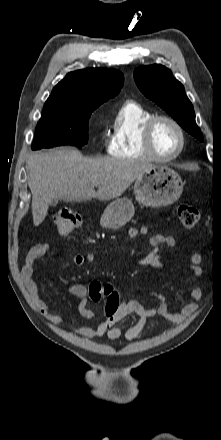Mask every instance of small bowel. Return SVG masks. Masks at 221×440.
I'll list each match as a JSON object with an SVG mask.
<instances>
[{"label": "small bowel", "mask_w": 221, "mask_h": 440, "mask_svg": "<svg viewBox=\"0 0 221 440\" xmlns=\"http://www.w3.org/2000/svg\"><path fill=\"white\" fill-rule=\"evenodd\" d=\"M146 233L147 229L145 227H132L128 230V238L136 239L139 235H145ZM149 242L152 247V251L143 257L140 260V263L142 265H147L154 268H161L163 264L161 261L160 247L164 244L174 247L177 245V240L172 236L157 234L150 237ZM45 256L56 257L57 254L51 250L50 246L46 243H36L32 245L22 267L21 278L39 312L46 316L53 324L60 325L64 323V318L60 314L49 312V306L39 298V288L36 282L33 280L35 264L37 260ZM96 261L97 256L93 253L75 254L72 257L73 264L78 267L93 264ZM200 261L201 257L198 253H192L190 255V264L188 269L196 276L203 275V269L199 266ZM89 287L90 283H74L65 287V291L69 295L81 299L78 310L85 318H92L94 316L93 311L87 306L89 300ZM146 294L158 300V305L155 308L148 310L145 309L138 300L122 298L121 305L118 306L119 312L117 315H114V319L112 321L102 320L96 326H80L74 328L73 333L86 338L107 336L111 340L124 336L127 341H133L141 334L147 323V320L152 317H160L172 323L181 324L186 316L194 313L198 309V301L202 297L201 289L194 288L188 292V297L192 299L193 302L184 305L177 311H173L163 295L155 292H148ZM131 314H136L139 317L135 324L126 329L116 326L117 323Z\"/></svg>", "instance_id": "obj_1"}]
</instances>
